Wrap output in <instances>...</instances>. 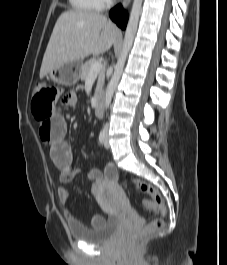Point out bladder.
Masks as SVG:
<instances>
[{"label":"bladder","mask_w":227,"mask_h":265,"mask_svg":"<svg viewBox=\"0 0 227 265\" xmlns=\"http://www.w3.org/2000/svg\"><path fill=\"white\" fill-rule=\"evenodd\" d=\"M114 191L120 197H124L123 191L118 186H113ZM119 226V218L110 216L99 225L86 227L81 224L69 222L68 228L70 235L75 240L88 242L91 244H99L109 240L117 231Z\"/></svg>","instance_id":"obj_1"}]
</instances>
